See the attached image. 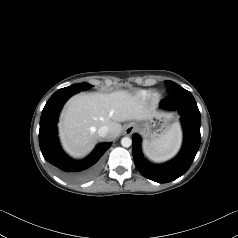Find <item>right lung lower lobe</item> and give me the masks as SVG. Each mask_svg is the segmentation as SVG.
I'll return each mask as SVG.
<instances>
[{"label":"right lung lower lobe","mask_w":238,"mask_h":238,"mask_svg":"<svg viewBox=\"0 0 238 238\" xmlns=\"http://www.w3.org/2000/svg\"><path fill=\"white\" fill-rule=\"evenodd\" d=\"M81 90L77 85H71L56 91L42 111L39 130V144L44 158L58 168L67 180L74 182L92 176L97 169V161L111 146V143L99 144L88 158L81 161L72 160L62 151L57 138V118L65 101Z\"/></svg>","instance_id":"right-lung-lower-lobe-1"}]
</instances>
